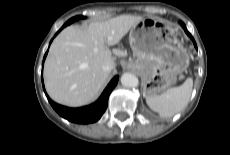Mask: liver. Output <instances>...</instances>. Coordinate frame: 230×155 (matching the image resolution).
Masks as SVG:
<instances>
[{
	"label": "liver",
	"instance_id": "1",
	"mask_svg": "<svg viewBox=\"0 0 230 155\" xmlns=\"http://www.w3.org/2000/svg\"><path fill=\"white\" fill-rule=\"evenodd\" d=\"M144 19L120 15L87 28L69 26L54 39L44 65L45 87L57 103L79 107L94 100L109 74L103 66L113 61V46ZM114 62V61H113Z\"/></svg>",
	"mask_w": 230,
	"mask_h": 155
}]
</instances>
